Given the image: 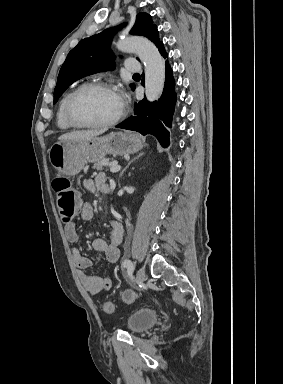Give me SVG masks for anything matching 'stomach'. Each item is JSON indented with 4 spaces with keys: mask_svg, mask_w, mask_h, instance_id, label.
<instances>
[{
    "mask_svg": "<svg viewBox=\"0 0 283 384\" xmlns=\"http://www.w3.org/2000/svg\"><path fill=\"white\" fill-rule=\"evenodd\" d=\"M142 148V138L138 134L112 132L108 136L56 142L49 150V160L51 166L61 174L76 176L83 170L85 164L101 162L106 154L123 156V154H135Z\"/></svg>",
    "mask_w": 283,
    "mask_h": 384,
    "instance_id": "obj_1",
    "label": "stomach"
}]
</instances>
